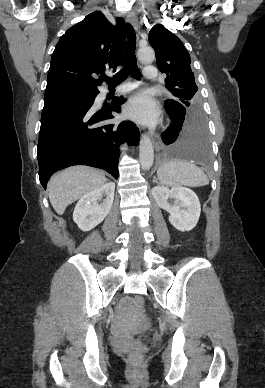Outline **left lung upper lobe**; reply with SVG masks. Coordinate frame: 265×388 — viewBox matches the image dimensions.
I'll return each instance as SVG.
<instances>
[{"label":"left lung upper lobe","mask_w":265,"mask_h":388,"mask_svg":"<svg viewBox=\"0 0 265 388\" xmlns=\"http://www.w3.org/2000/svg\"><path fill=\"white\" fill-rule=\"evenodd\" d=\"M149 43L155 50L158 68L167 75L165 83L174 97L169 101L201 110L190 55L182 41L162 24H156L149 32Z\"/></svg>","instance_id":"obj_1"}]
</instances>
